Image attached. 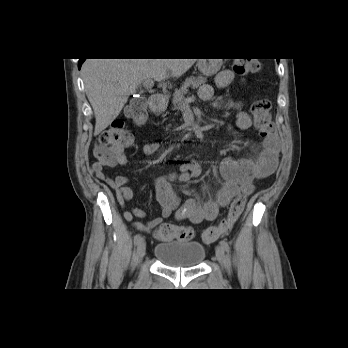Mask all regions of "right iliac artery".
I'll use <instances>...</instances> for the list:
<instances>
[{"mask_svg": "<svg viewBox=\"0 0 348 348\" xmlns=\"http://www.w3.org/2000/svg\"><path fill=\"white\" fill-rule=\"evenodd\" d=\"M141 236H140V234H137L135 237H134V244L135 245H138L139 244V242L141 241Z\"/></svg>", "mask_w": 348, "mask_h": 348, "instance_id": "right-iliac-artery-1", "label": "right iliac artery"}]
</instances>
